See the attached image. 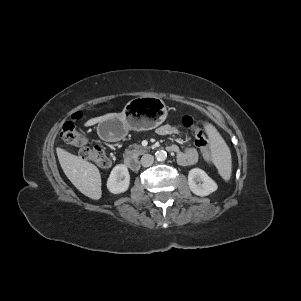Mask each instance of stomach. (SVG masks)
Wrapping results in <instances>:
<instances>
[{
	"label": "stomach",
	"mask_w": 301,
	"mask_h": 301,
	"mask_svg": "<svg viewBox=\"0 0 301 301\" xmlns=\"http://www.w3.org/2000/svg\"><path fill=\"white\" fill-rule=\"evenodd\" d=\"M167 117L164 102L157 97H137L130 100L121 115L100 122L98 134L108 141L121 140L129 130H151Z\"/></svg>",
	"instance_id": "stomach-1"
}]
</instances>
